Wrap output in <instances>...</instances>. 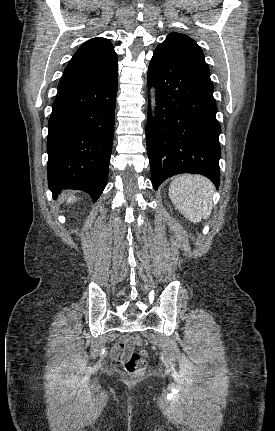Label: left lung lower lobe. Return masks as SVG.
<instances>
[{
  "label": "left lung lower lobe",
  "mask_w": 275,
  "mask_h": 431,
  "mask_svg": "<svg viewBox=\"0 0 275 431\" xmlns=\"http://www.w3.org/2000/svg\"><path fill=\"white\" fill-rule=\"evenodd\" d=\"M156 88V116L147 124L146 143L154 189L180 173H198L218 188L220 124L211 91L174 53L158 46L148 68Z\"/></svg>",
  "instance_id": "1"
}]
</instances>
